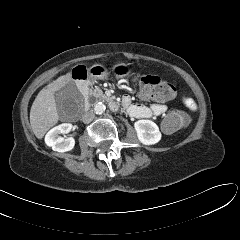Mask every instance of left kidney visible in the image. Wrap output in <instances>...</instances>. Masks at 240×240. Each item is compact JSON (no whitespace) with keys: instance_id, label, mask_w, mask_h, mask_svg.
I'll use <instances>...</instances> for the list:
<instances>
[{"instance_id":"1","label":"left kidney","mask_w":240,"mask_h":240,"mask_svg":"<svg viewBox=\"0 0 240 240\" xmlns=\"http://www.w3.org/2000/svg\"><path fill=\"white\" fill-rule=\"evenodd\" d=\"M134 128L139 141L144 145H153L161 140V132L151 120H138L134 123Z\"/></svg>"}]
</instances>
